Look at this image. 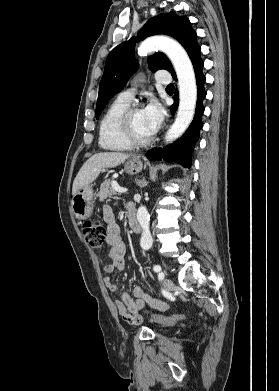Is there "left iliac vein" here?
I'll return each mask as SVG.
<instances>
[{
    "instance_id": "obj_1",
    "label": "left iliac vein",
    "mask_w": 279,
    "mask_h": 391,
    "mask_svg": "<svg viewBox=\"0 0 279 391\" xmlns=\"http://www.w3.org/2000/svg\"><path fill=\"white\" fill-rule=\"evenodd\" d=\"M163 285H164V287H165L168 291H171V290L173 289V287H174V284H173L172 280L169 279V278H164V279H163Z\"/></svg>"
}]
</instances>
